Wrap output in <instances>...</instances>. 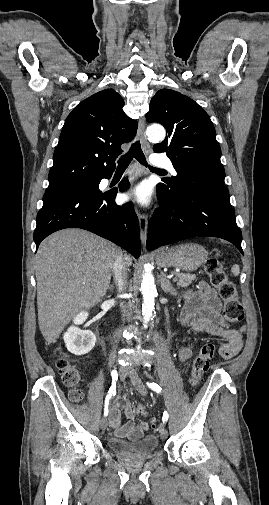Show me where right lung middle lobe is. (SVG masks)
Returning <instances> with one entry per match:
<instances>
[{
  "label": "right lung middle lobe",
  "mask_w": 269,
  "mask_h": 505,
  "mask_svg": "<svg viewBox=\"0 0 269 505\" xmlns=\"http://www.w3.org/2000/svg\"><path fill=\"white\" fill-rule=\"evenodd\" d=\"M98 185H99L98 181L94 179V180H88V181H84L81 183H77L75 185H72V186H69L66 188H87V189H94L97 192H100L99 188L97 187Z\"/></svg>",
  "instance_id": "1"
}]
</instances>
